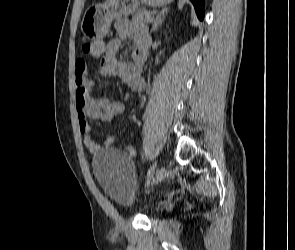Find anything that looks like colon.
Here are the masks:
<instances>
[{
  "mask_svg": "<svg viewBox=\"0 0 295 250\" xmlns=\"http://www.w3.org/2000/svg\"><path fill=\"white\" fill-rule=\"evenodd\" d=\"M99 42H85L82 46V50L85 54L92 55V53L97 49Z\"/></svg>",
  "mask_w": 295,
  "mask_h": 250,
  "instance_id": "5ec220e1",
  "label": "colon"
}]
</instances>
